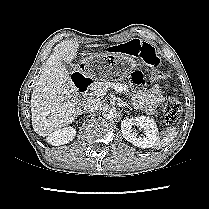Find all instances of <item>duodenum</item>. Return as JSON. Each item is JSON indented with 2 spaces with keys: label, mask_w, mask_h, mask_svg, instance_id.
<instances>
[{
  "label": "duodenum",
  "mask_w": 209,
  "mask_h": 209,
  "mask_svg": "<svg viewBox=\"0 0 209 209\" xmlns=\"http://www.w3.org/2000/svg\"><path fill=\"white\" fill-rule=\"evenodd\" d=\"M72 83L79 93H85L90 88L92 81L82 74H74L72 76Z\"/></svg>",
  "instance_id": "obj_1"
}]
</instances>
